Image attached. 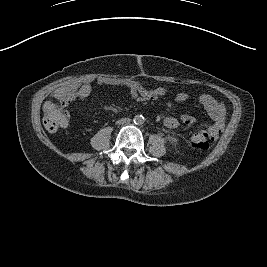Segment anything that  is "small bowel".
<instances>
[{
	"label": "small bowel",
	"instance_id": "c3829d8e",
	"mask_svg": "<svg viewBox=\"0 0 267 267\" xmlns=\"http://www.w3.org/2000/svg\"><path fill=\"white\" fill-rule=\"evenodd\" d=\"M125 87L128 89L131 97L140 102L154 101L166 95L165 87L158 86L155 88H147L139 83H129ZM92 86L90 83L74 84L68 90L56 95V98L63 104L68 105L70 102L84 101L91 93ZM190 95L187 92H178L175 95V101L182 103L187 101ZM198 103L206 110L211 122L205 123L199 132L208 133L213 140H217L225 122L226 109L225 106L209 94H202L198 97ZM165 126L171 129L178 128L180 124L191 126L196 124L197 119L190 114H182L180 119L173 116L163 117Z\"/></svg>",
	"mask_w": 267,
	"mask_h": 267
}]
</instances>
